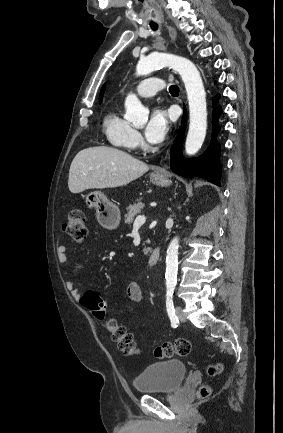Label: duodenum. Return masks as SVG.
Segmentation results:
<instances>
[{"instance_id":"duodenum-1","label":"duodenum","mask_w":283,"mask_h":433,"mask_svg":"<svg viewBox=\"0 0 283 433\" xmlns=\"http://www.w3.org/2000/svg\"><path fill=\"white\" fill-rule=\"evenodd\" d=\"M160 258H161V251L159 248H155L149 256V259H148L149 265L150 266H156L159 263Z\"/></svg>"}]
</instances>
